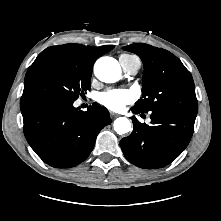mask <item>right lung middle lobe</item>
Returning <instances> with one entry per match:
<instances>
[{
    "label": "right lung middle lobe",
    "instance_id": "obj_1",
    "mask_svg": "<svg viewBox=\"0 0 221 221\" xmlns=\"http://www.w3.org/2000/svg\"><path fill=\"white\" fill-rule=\"evenodd\" d=\"M91 75L92 69L70 60L44 61L29 73L23 93L29 100L74 102L90 89Z\"/></svg>",
    "mask_w": 221,
    "mask_h": 221
}]
</instances>
